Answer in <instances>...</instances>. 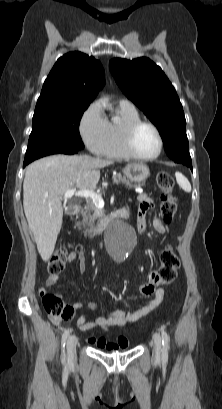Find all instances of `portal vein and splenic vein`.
I'll return each instance as SVG.
<instances>
[{
  "mask_svg": "<svg viewBox=\"0 0 222 409\" xmlns=\"http://www.w3.org/2000/svg\"><path fill=\"white\" fill-rule=\"evenodd\" d=\"M138 192L141 193L142 190H140ZM74 195L77 196V197L90 198V199H92L93 203L96 206H99V207L104 206V201H103L102 197L93 190H79V191H76V189L73 188L71 190H67L64 193L63 198H64V200H67L69 198H72V196H74Z\"/></svg>",
  "mask_w": 222,
  "mask_h": 409,
  "instance_id": "1",
  "label": "portal vein and splenic vein"
}]
</instances>
